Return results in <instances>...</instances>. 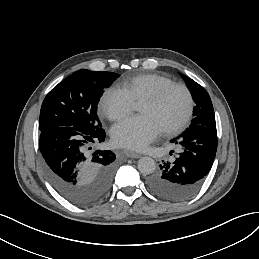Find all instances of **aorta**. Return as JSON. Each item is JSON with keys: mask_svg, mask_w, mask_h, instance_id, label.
Masks as SVG:
<instances>
[{"mask_svg": "<svg viewBox=\"0 0 259 259\" xmlns=\"http://www.w3.org/2000/svg\"><path fill=\"white\" fill-rule=\"evenodd\" d=\"M138 170L144 174H152L156 169V163L151 157H142L137 163Z\"/></svg>", "mask_w": 259, "mask_h": 259, "instance_id": "obj_1", "label": "aorta"}]
</instances>
